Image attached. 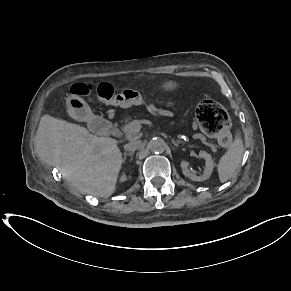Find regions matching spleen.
<instances>
[{
	"instance_id": "spleen-1",
	"label": "spleen",
	"mask_w": 291,
	"mask_h": 291,
	"mask_svg": "<svg viewBox=\"0 0 291 291\" xmlns=\"http://www.w3.org/2000/svg\"><path fill=\"white\" fill-rule=\"evenodd\" d=\"M244 154V145L240 133L237 132L234 141L220 158L217 169L222 183L228 181L239 167Z\"/></svg>"
}]
</instances>
